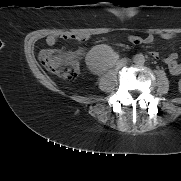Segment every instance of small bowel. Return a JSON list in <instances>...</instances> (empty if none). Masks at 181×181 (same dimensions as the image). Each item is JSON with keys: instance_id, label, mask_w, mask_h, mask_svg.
Returning <instances> with one entry per match:
<instances>
[{"instance_id": "1", "label": "small bowel", "mask_w": 181, "mask_h": 181, "mask_svg": "<svg viewBox=\"0 0 181 181\" xmlns=\"http://www.w3.org/2000/svg\"><path fill=\"white\" fill-rule=\"evenodd\" d=\"M174 34L172 33H161L159 35L160 38L164 40H169L174 38ZM59 39H65V40H77V41H86L89 39V35L86 34H73V33H64L62 35H50L47 37L46 42L49 46H54ZM129 41L134 45H141V44H151L154 41V36L152 34H148L144 37L140 36H129ZM81 54V51L75 52V56H78ZM151 56L155 59L158 58V53L151 52ZM164 62L167 64L169 71L172 75H179L181 74V63L177 61V54L172 53L166 58H164Z\"/></svg>"}]
</instances>
